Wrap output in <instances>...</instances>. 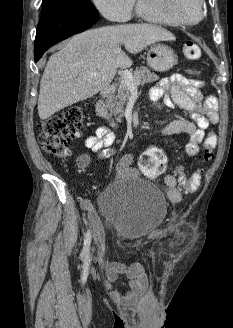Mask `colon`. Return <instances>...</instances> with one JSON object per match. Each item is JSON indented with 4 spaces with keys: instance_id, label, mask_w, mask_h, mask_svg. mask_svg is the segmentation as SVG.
I'll use <instances>...</instances> for the list:
<instances>
[{
    "instance_id": "1",
    "label": "colon",
    "mask_w": 233,
    "mask_h": 328,
    "mask_svg": "<svg viewBox=\"0 0 233 328\" xmlns=\"http://www.w3.org/2000/svg\"><path fill=\"white\" fill-rule=\"evenodd\" d=\"M184 55L187 59L196 60L201 50L195 42L184 45ZM85 120V113L80 108H72L61 114L54 115L40 124L39 142L44 152L60 159H68L72 155L70 143L80 137ZM216 145V136L209 133L204 142L201 159L209 162L213 159V149ZM143 174L155 177L162 174L166 168V157L157 147L146 149L139 160ZM180 190L185 194L197 191L201 184V171H196L187 177L181 168L176 170Z\"/></svg>"
}]
</instances>
